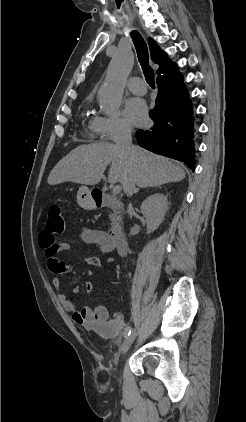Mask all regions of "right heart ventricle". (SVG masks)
I'll return each mask as SVG.
<instances>
[{"mask_svg": "<svg viewBox=\"0 0 246 422\" xmlns=\"http://www.w3.org/2000/svg\"><path fill=\"white\" fill-rule=\"evenodd\" d=\"M94 119H95V118H91V119L89 120V122H88V128H89L91 131H94Z\"/></svg>", "mask_w": 246, "mask_h": 422, "instance_id": "e07e8e85", "label": "right heart ventricle"}]
</instances>
